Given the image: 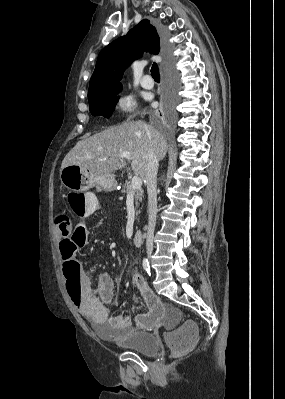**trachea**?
Instances as JSON below:
<instances>
[{
    "instance_id": "3493384b",
    "label": "trachea",
    "mask_w": 285,
    "mask_h": 399,
    "mask_svg": "<svg viewBox=\"0 0 285 399\" xmlns=\"http://www.w3.org/2000/svg\"><path fill=\"white\" fill-rule=\"evenodd\" d=\"M151 76L154 80H160L159 69L156 63H153L151 67Z\"/></svg>"
}]
</instances>
